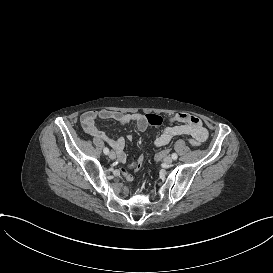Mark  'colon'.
Returning a JSON list of instances; mask_svg holds the SVG:
<instances>
[{
	"instance_id": "obj_1",
	"label": "colon",
	"mask_w": 273,
	"mask_h": 273,
	"mask_svg": "<svg viewBox=\"0 0 273 273\" xmlns=\"http://www.w3.org/2000/svg\"><path fill=\"white\" fill-rule=\"evenodd\" d=\"M144 118L148 124L153 126H161L164 122V118L160 114L156 113H146L144 114ZM146 158V155L143 153L137 156V163L135 167L137 171L140 172L143 170Z\"/></svg>"
}]
</instances>
